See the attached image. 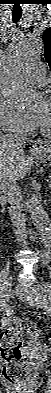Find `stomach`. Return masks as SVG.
Returning a JSON list of instances; mask_svg holds the SVG:
<instances>
[{
  "instance_id": "stomach-1",
  "label": "stomach",
  "mask_w": 51,
  "mask_h": 393,
  "mask_svg": "<svg viewBox=\"0 0 51 393\" xmlns=\"http://www.w3.org/2000/svg\"><path fill=\"white\" fill-rule=\"evenodd\" d=\"M33 156L36 160H38L41 163L46 161L51 162V147L50 146L39 147L33 152Z\"/></svg>"
}]
</instances>
